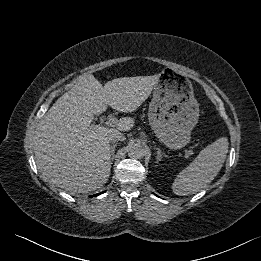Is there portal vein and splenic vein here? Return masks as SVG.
I'll use <instances>...</instances> for the list:
<instances>
[{
	"mask_svg": "<svg viewBox=\"0 0 261 261\" xmlns=\"http://www.w3.org/2000/svg\"><path fill=\"white\" fill-rule=\"evenodd\" d=\"M118 124H119V121L116 118H112V117L108 118V120L106 122V125L111 126V127H114ZM185 152H186V154H188L190 156H192L194 154V152L192 150H188V149H185Z\"/></svg>",
	"mask_w": 261,
	"mask_h": 261,
	"instance_id": "portal-vein-and-splenic-vein-1",
	"label": "portal vein and splenic vein"
}]
</instances>
